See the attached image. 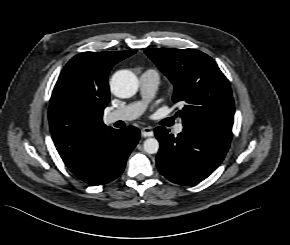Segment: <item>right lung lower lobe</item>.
<instances>
[{"label":"right lung lower lobe","instance_id":"right-lung-lower-lobe-1","mask_svg":"<svg viewBox=\"0 0 290 245\" xmlns=\"http://www.w3.org/2000/svg\"><path fill=\"white\" fill-rule=\"evenodd\" d=\"M140 138V131L128 126L110 129L81 159L67 167L91 186L103 185L116 179L124 170L126 160Z\"/></svg>","mask_w":290,"mask_h":245}]
</instances>
